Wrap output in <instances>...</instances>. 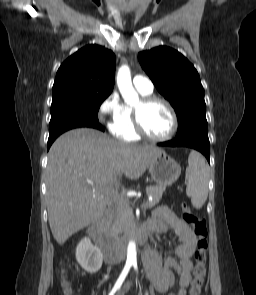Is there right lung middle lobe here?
<instances>
[{
	"label": "right lung middle lobe",
	"mask_w": 256,
	"mask_h": 295,
	"mask_svg": "<svg viewBox=\"0 0 256 295\" xmlns=\"http://www.w3.org/2000/svg\"><path fill=\"white\" fill-rule=\"evenodd\" d=\"M106 98L65 99L52 102L49 127L61 123L97 119L100 105Z\"/></svg>",
	"instance_id": "obj_1"
}]
</instances>
